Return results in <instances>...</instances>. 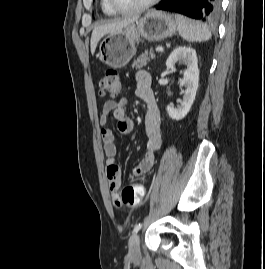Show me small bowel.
I'll list each match as a JSON object with an SVG mask.
<instances>
[{
    "mask_svg": "<svg viewBox=\"0 0 265 269\" xmlns=\"http://www.w3.org/2000/svg\"><path fill=\"white\" fill-rule=\"evenodd\" d=\"M136 96L141 99L146 106V114L144 120V129L146 135V143L143 150L142 158L132 171V177L140 176L151 170L156 152L162 146L163 126L156 103L155 95L151 86V78L145 71L137 74ZM125 98L108 100L102 106V112L99 116V124L101 126V134L103 139V148L106 155V177L109 189L112 193L113 202L118 203V190L121 185V169L116 164L117 147L113 131L108 127L109 115L112 113L117 121V129L123 134H129L133 129V122L126 116Z\"/></svg>",
    "mask_w": 265,
    "mask_h": 269,
    "instance_id": "small-bowel-1",
    "label": "small bowel"
}]
</instances>
